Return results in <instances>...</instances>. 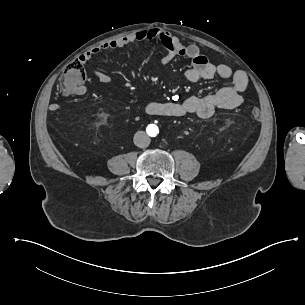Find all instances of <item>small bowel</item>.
Returning a JSON list of instances; mask_svg holds the SVG:
<instances>
[{"mask_svg":"<svg viewBox=\"0 0 305 305\" xmlns=\"http://www.w3.org/2000/svg\"><path fill=\"white\" fill-rule=\"evenodd\" d=\"M152 40H158L166 49L160 59L162 64H168L177 57L191 60V67L185 72V78L189 82L195 83L202 79L207 80L218 76L222 79H230L231 85L203 97L190 96L183 100L172 98L161 102H149L145 108L148 114L173 117L195 114L200 118H209L218 109L230 110L242 104L243 93L248 87V78L244 72H234L225 64H214L201 53L197 45H186L177 37L163 30H143L107 41L84 52L79 56V62L87 63L95 55L104 51L116 50L132 43ZM93 74L102 84L111 82L110 77L103 72L95 71ZM84 91L85 89L80 87L77 92L83 93Z\"/></svg>","mask_w":305,"mask_h":305,"instance_id":"obj_1","label":"small bowel"}]
</instances>
